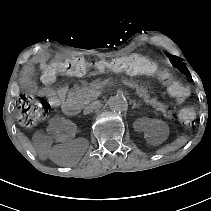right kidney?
I'll return each mask as SVG.
<instances>
[{"label": "right kidney", "instance_id": "obj_1", "mask_svg": "<svg viewBox=\"0 0 211 211\" xmlns=\"http://www.w3.org/2000/svg\"><path fill=\"white\" fill-rule=\"evenodd\" d=\"M47 132L52 135V140L55 143H60L62 140L70 141L76 137L74 123L68 122L65 118L54 119L48 125Z\"/></svg>", "mask_w": 211, "mask_h": 211}]
</instances>
